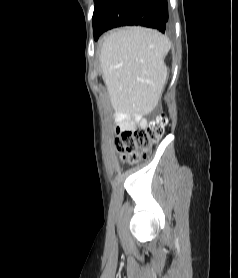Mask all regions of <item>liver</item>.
<instances>
[{"label":"liver","instance_id":"obj_1","mask_svg":"<svg viewBox=\"0 0 238 278\" xmlns=\"http://www.w3.org/2000/svg\"><path fill=\"white\" fill-rule=\"evenodd\" d=\"M170 48L166 36L144 27L118 29L104 37L100 67L115 111L148 114L157 106Z\"/></svg>","mask_w":238,"mask_h":278}]
</instances>
